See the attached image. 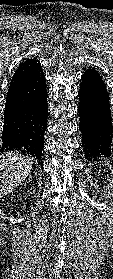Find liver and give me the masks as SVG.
<instances>
[{
	"label": "liver",
	"mask_w": 113,
	"mask_h": 279,
	"mask_svg": "<svg viewBox=\"0 0 113 279\" xmlns=\"http://www.w3.org/2000/svg\"><path fill=\"white\" fill-rule=\"evenodd\" d=\"M33 165L31 156L18 152L0 155V198L6 196L30 174Z\"/></svg>",
	"instance_id": "obj_1"
}]
</instances>
